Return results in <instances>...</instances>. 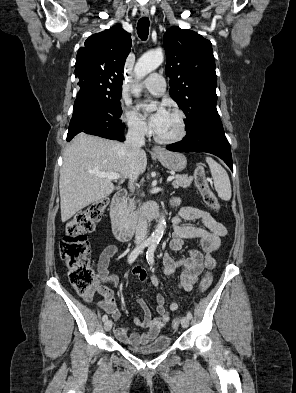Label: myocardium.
<instances>
[{
    "label": "myocardium",
    "instance_id": "f54148a6",
    "mask_svg": "<svg viewBox=\"0 0 296 393\" xmlns=\"http://www.w3.org/2000/svg\"><path fill=\"white\" fill-rule=\"evenodd\" d=\"M169 113L176 115L179 119V131L178 133L170 138L160 137L154 132V138L158 143L161 144H174L183 140L187 134V121L185 114L179 109H171Z\"/></svg>",
    "mask_w": 296,
    "mask_h": 393
}]
</instances>
